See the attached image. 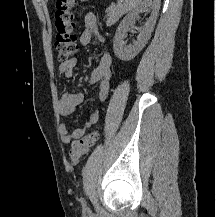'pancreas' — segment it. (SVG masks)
<instances>
[{"label": "pancreas", "instance_id": "1", "mask_svg": "<svg viewBox=\"0 0 216 217\" xmlns=\"http://www.w3.org/2000/svg\"><path fill=\"white\" fill-rule=\"evenodd\" d=\"M106 12V25L112 26L125 13V8L121 3H118L117 5H111Z\"/></svg>", "mask_w": 216, "mask_h": 217}]
</instances>
